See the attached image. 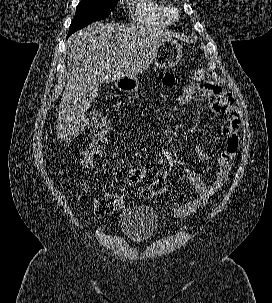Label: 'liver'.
I'll use <instances>...</instances> for the list:
<instances>
[{"mask_svg":"<svg viewBox=\"0 0 272 303\" xmlns=\"http://www.w3.org/2000/svg\"><path fill=\"white\" fill-rule=\"evenodd\" d=\"M170 39L169 33L134 23L97 22L74 33L66 43L69 76L59 105L57 136L68 141L82 133L99 84L148 69L159 46Z\"/></svg>","mask_w":272,"mask_h":303,"instance_id":"obj_1","label":"liver"}]
</instances>
